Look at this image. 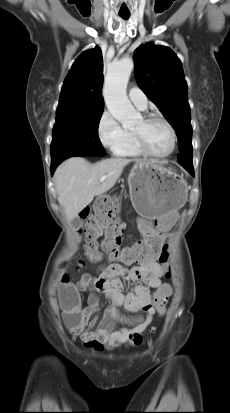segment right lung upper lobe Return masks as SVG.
Segmentation results:
<instances>
[{
	"mask_svg": "<svg viewBox=\"0 0 230 413\" xmlns=\"http://www.w3.org/2000/svg\"><path fill=\"white\" fill-rule=\"evenodd\" d=\"M103 60L99 47L84 51L74 62L62 86L58 116L103 113Z\"/></svg>",
	"mask_w": 230,
	"mask_h": 413,
	"instance_id": "cb5924a9",
	"label": "right lung upper lobe"
}]
</instances>
